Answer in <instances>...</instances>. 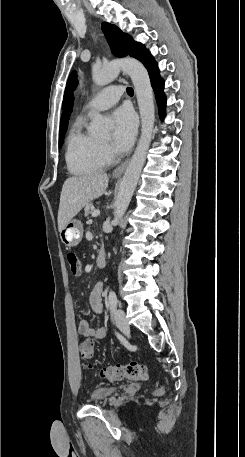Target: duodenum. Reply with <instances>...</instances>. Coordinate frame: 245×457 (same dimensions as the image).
<instances>
[{
    "label": "duodenum",
    "mask_w": 245,
    "mask_h": 457,
    "mask_svg": "<svg viewBox=\"0 0 245 457\" xmlns=\"http://www.w3.org/2000/svg\"><path fill=\"white\" fill-rule=\"evenodd\" d=\"M96 265L103 268L106 265V254L103 250L99 251L96 256Z\"/></svg>",
    "instance_id": "duodenum-1"
}]
</instances>
